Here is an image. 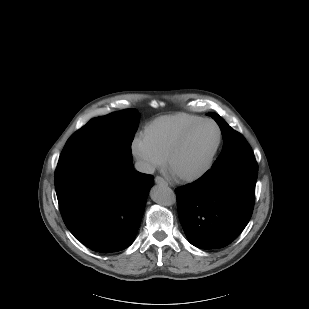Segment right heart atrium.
Here are the masks:
<instances>
[{
  "instance_id": "obj_1",
  "label": "right heart atrium",
  "mask_w": 309,
  "mask_h": 309,
  "mask_svg": "<svg viewBox=\"0 0 309 309\" xmlns=\"http://www.w3.org/2000/svg\"><path fill=\"white\" fill-rule=\"evenodd\" d=\"M131 153L143 172H151L163 164V159L148 145L143 135L132 140Z\"/></svg>"
}]
</instances>
